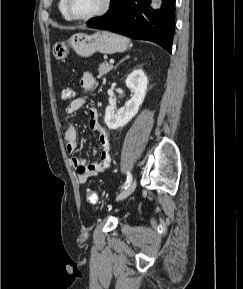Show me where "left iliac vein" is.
Segmentation results:
<instances>
[{
	"instance_id": "4c4485c4",
	"label": "left iliac vein",
	"mask_w": 243,
	"mask_h": 289,
	"mask_svg": "<svg viewBox=\"0 0 243 289\" xmlns=\"http://www.w3.org/2000/svg\"><path fill=\"white\" fill-rule=\"evenodd\" d=\"M137 181L133 180L126 189H124L119 195H117L116 200H123L127 198L129 195H131L134 190L136 189Z\"/></svg>"
}]
</instances>
